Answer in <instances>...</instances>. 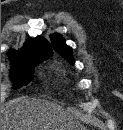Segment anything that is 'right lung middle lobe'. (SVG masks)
Wrapping results in <instances>:
<instances>
[{
  "instance_id": "right-lung-middle-lobe-1",
  "label": "right lung middle lobe",
  "mask_w": 123,
  "mask_h": 130,
  "mask_svg": "<svg viewBox=\"0 0 123 130\" xmlns=\"http://www.w3.org/2000/svg\"><path fill=\"white\" fill-rule=\"evenodd\" d=\"M50 55L46 56H23L19 58L12 59L15 62L13 66L11 75L15 80V88H20L23 85L28 84L34 67L41 63L42 61L49 58Z\"/></svg>"
}]
</instances>
